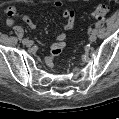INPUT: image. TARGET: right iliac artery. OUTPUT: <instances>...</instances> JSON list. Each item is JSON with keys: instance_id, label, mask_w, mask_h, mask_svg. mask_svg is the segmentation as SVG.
Listing matches in <instances>:
<instances>
[{"instance_id": "1", "label": "right iliac artery", "mask_w": 119, "mask_h": 119, "mask_svg": "<svg viewBox=\"0 0 119 119\" xmlns=\"http://www.w3.org/2000/svg\"><path fill=\"white\" fill-rule=\"evenodd\" d=\"M27 40H28V39H23V40H22V43L24 44Z\"/></svg>"}]
</instances>
